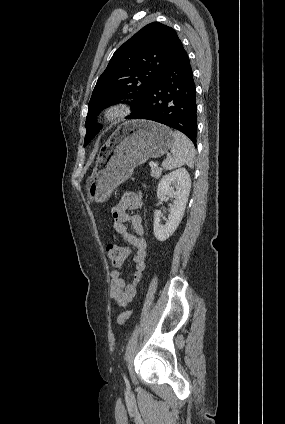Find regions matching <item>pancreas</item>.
<instances>
[{"instance_id":"pancreas-1","label":"pancreas","mask_w":285,"mask_h":424,"mask_svg":"<svg viewBox=\"0 0 285 424\" xmlns=\"http://www.w3.org/2000/svg\"><path fill=\"white\" fill-rule=\"evenodd\" d=\"M162 169L157 166L152 167L151 176L159 178L161 176Z\"/></svg>"}]
</instances>
